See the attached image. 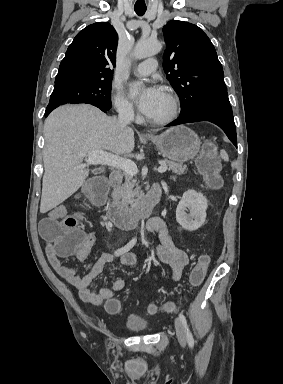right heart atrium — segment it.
<instances>
[{"label":"right heart atrium","mask_w":283,"mask_h":384,"mask_svg":"<svg viewBox=\"0 0 283 384\" xmlns=\"http://www.w3.org/2000/svg\"><path fill=\"white\" fill-rule=\"evenodd\" d=\"M112 104L121 117L131 118L133 116V105L117 88L112 89Z\"/></svg>","instance_id":"right-heart-atrium-1"}]
</instances>
